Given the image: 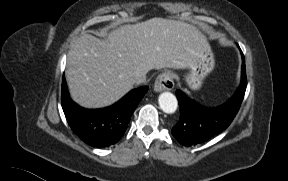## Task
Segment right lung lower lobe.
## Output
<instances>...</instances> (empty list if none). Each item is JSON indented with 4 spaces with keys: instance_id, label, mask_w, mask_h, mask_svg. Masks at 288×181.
<instances>
[{
    "instance_id": "98d812e1",
    "label": "right lung lower lobe",
    "mask_w": 288,
    "mask_h": 181,
    "mask_svg": "<svg viewBox=\"0 0 288 181\" xmlns=\"http://www.w3.org/2000/svg\"><path fill=\"white\" fill-rule=\"evenodd\" d=\"M147 91V86L134 89L110 107L91 110L82 108L72 101L63 78L61 102L73 132L86 144L104 148L122 138L131 115Z\"/></svg>"
}]
</instances>
